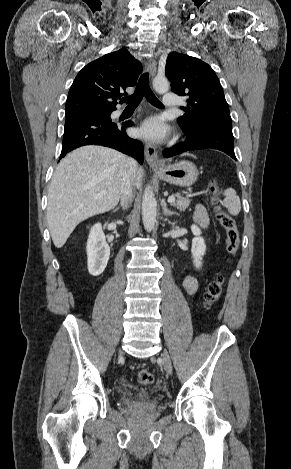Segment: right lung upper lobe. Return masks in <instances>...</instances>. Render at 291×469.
<instances>
[{
    "mask_svg": "<svg viewBox=\"0 0 291 469\" xmlns=\"http://www.w3.org/2000/svg\"><path fill=\"white\" fill-rule=\"evenodd\" d=\"M141 71V63L125 48L92 61L78 73L69 90L66 116L116 107L117 98L127 87L135 85Z\"/></svg>",
    "mask_w": 291,
    "mask_h": 469,
    "instance_id": "obj_1",
    "label": "right lung upper lobe"
}]
</instances>
